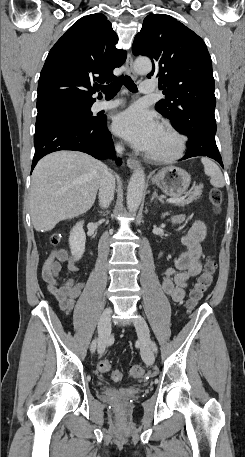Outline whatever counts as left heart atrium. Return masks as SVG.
<instances>
[{
	"label": "left heart atrium",
	"instance_id": "left-heart-atrium-1",
	"mask_svg": "<svg viewBox=\"0 0 245 457\" xmlns=\"http://www.w3.org/2000/svg\"><path fill=\"white\" fill-rule=\"evenodd\" d=\"M113 130L135 148L150 150L161 134V124L151 112L134 107L117 116Z\"/></svg>",
	"mask_w": 245,
	"mask_h": 457
}]
</instances>
